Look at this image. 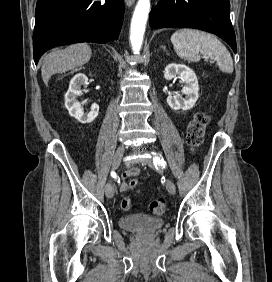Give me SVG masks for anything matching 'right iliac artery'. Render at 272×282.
I'll return each mask as SVG.
<instances>
[{
    "mask_svg": "<svg viewBox=\"0 0 272 282\" xmlns=\"http://www.w3.org/2000/svg\"><path fill=\"white\" fill-rule=\"evenodd\" d=\"M111 176H112V177H115V176H116V173H115L114 171H112V172H111Z\"/></svg>",
    "mask_w": 272,
    "mask_h": 282,
    "instance_id": "1",
    "label": "right iliac artery"
}]
</instances>
